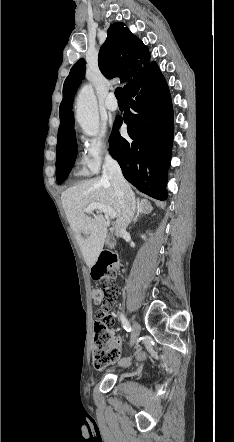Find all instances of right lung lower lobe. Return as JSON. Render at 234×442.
I'll list each match as a JSON object with an SVG mask.
<instances>
[{
    "instance_id": "98d812e1",
    "label": "right lung lower lobe",
    "mask_w": 234,
    "mask_h": 442,
    "mask_svg": "<svg viewBox=\"0 0 234 442\" xmlns=\"http://www.w3.org/2000/svg\"><path fill=\"white\" fill-rule=\"evenodd\" d=\"M126 110L117 117L110 137L111 155L124 177L141 192L167 199V170L173 143V109L167 83L157 65L131 80L125 91ZM127 124L130 139L120 136Z\"/></svg>"
}]
</instances>
